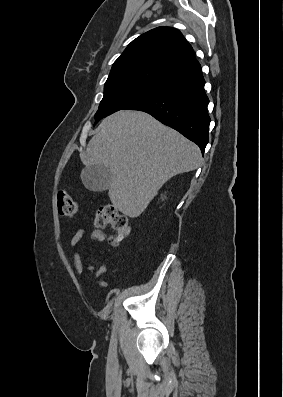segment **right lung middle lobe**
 I'll return each instance as SVG.
<instances>
[{
    "instance_id": "obj_1",
    "label": "right lung middle lobe",
    "mask_w": 283,
    "mask_h": 397,
    "mask_svg": "<svg viewBox=\"0 0 283 397\" xmlns=\"http://www.w3.org/2000/svg\"><path fill=\"white\" fill-rule=\"evenodd\" d=\"M168 82L145 73H120L110 75L104 86V97L95 119L100 120L124 109L138 99L162 87Z\"/></svg>"
}]
</instances>
